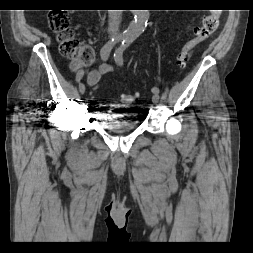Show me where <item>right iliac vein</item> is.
Here are the masks:
<instances>
[{
    "mask_svg": "<svg viewBox=\"0 0 253 253\" xmlns=\"http://www.w3.org/2000/svg\"><path fill=\"white\" fill-rule=\"evenodd\" d=\"M79 91H80L81 94H84V92H85V85L83 83L79 84Z\"/></svg>",
    "mask_w": 253,
    "mask_h": 253,
    "instance_id": "right-iliac-vein-1",
    "label": "right iliac vein"
}]
</instances>
